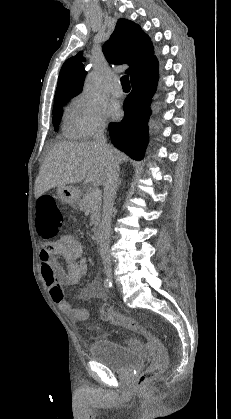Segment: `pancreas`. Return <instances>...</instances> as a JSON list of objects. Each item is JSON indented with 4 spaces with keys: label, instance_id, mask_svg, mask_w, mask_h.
Returning a JSON list of instances; mask_svg holds the SVG:
<instances>
[{
    "label": "pancreas",
    "instance_id": "pancreas-1",
    "mask_svg": "<svg viewBox=\"0 0 231 419\" xmlns=\"http://www.w3.org/2000/svg\"><path fill=\"white\" fill-rule=\"evenodd\" d=\"M90 192L87 191L82 199L78 201L77 206L80 210H88L91 214L90 222L91 224H95L100 218V210H101V198L98 199H90L89 196Z\"/></svg>",
    "mask_w": 231,
    "mask_h": 419
}]
</instances>
